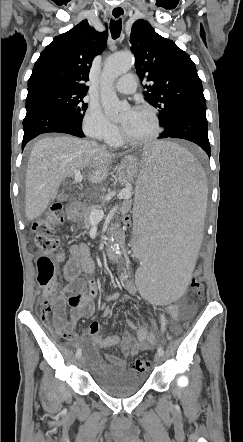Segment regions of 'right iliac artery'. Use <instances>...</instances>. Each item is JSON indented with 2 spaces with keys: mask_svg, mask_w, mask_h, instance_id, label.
Returning <instances> with one entry per match:
<instances>
[{
  "mask_svg": "<svg viewBox=\"0 0 243 442\" xmlns=\"http://www.w3.org/2000/svg\"><path fill=\"white\" fill-rule=\"evenodd\" d=\"M119 296V294H114L113 296H110L108 299H113V298H117ZM82 355V350L79 348L76 352V357L80 358Z\"/></svg>",
  "mask_w": 243,
  "mask_h": 442,
  "instance_id": "82829eb1",
  "label": "right iliac artery"
}]
</instances>
